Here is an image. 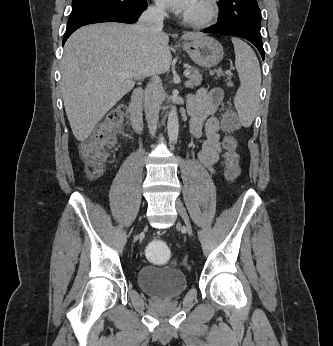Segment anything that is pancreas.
Instances as JSON below:
<instances>
[{"instance_id": "cf45deb5", "label": "pancreas", "mask_w": 333, "mask_h": 346, "mask_svg": "<svg viewBox=\"0 0 333 346\" xmlns=\"http://www.w3.org/2000/svg\"><path fill=\"white\" fill-rule=\"evenodd\" d=\"M214 74L220 77V76L226 75L227 73H223L221 69L210 71V75H214ZM202 79L203 78L199 70H192L188 77V81H186L185 85L187 88L193 89L194 86H199L201 84Z\"/></svg>"}]
</instances>
